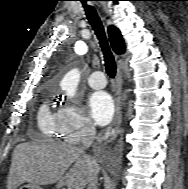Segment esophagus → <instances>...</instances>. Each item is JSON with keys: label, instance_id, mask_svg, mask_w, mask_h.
Masks as SVG:
<instances>
[{"label": "esophagus", "instance_id": "obj_1", "mask_svg": "<svg viewBox=\"0 0 188 189\" xmlns=\"http://www.w3.org/2000/svg\"><path fill=\"white\" fill-rule=\"evenodd\" d=\"M121 84H122V70L118 67L117 70V86H116V93H115V105L116 111L114 119L111 125L107 128L105 132V139L107 142H111L117 136L118 130L120 128L122 114H121V107H120V91H121Z\"/></svg>", "mask_w": 188, "mask_h": 189}]
</instances>
